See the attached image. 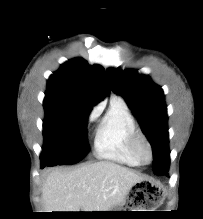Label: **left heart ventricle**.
<instances>
[{"label":"left heart ventricle","mask_w":203,"mask_h":219,"mask_svg":"<svg viewBox=\"0 0 203 219\" xmlns=\"http://www.w3.org/2000/svg\"><path fill=\"white\" fill-rule=\"evenodd\" d=\"M142 154H143V157H144L145 159H148V158H149L148 151L146 150L145 147H142Z\"/></svg>","instance_id":"b2bd125f"}]
</instances>
